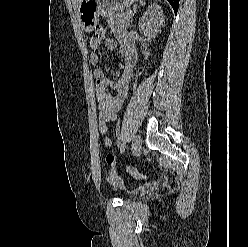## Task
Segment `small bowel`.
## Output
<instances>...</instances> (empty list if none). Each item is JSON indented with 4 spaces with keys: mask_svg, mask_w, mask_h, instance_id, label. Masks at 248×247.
<instances>
[{
    "mask_svg": "<svg viewBox=\"0 0 248 247\" xmlns=\"http://www.w3.org/2000/svg\"><path fill=\"white\" fill-rule=\"evenodd\" d=\"M118 36L124 55V66L119 79L117 81H110L101 69H96L93 72L96 84L95 93L99 104V129L101 135L104 137V144L108 149L112 147V140L107 136L108 125L117 119V112L121 109L129 93L133 69L137 60L132 38L125 32L119 33ZM103 41L107 48L111 50L117 48V42L114 39L93 36L89 42L91 48L89 58L93 65L99 62L97 50ZM108 90H113L114 93H110ZM105 161L108 166L114 167L116 157L112 152H108Z\"/></svg>",
    "mask_w": 248,
    "mask_h": 247,
    "instance_id": "c3829d8e",
    "label": "small bowel"
}]
</instances>
